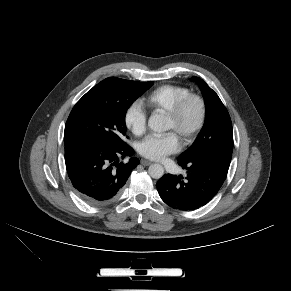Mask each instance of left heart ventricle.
I'll use <instances>...</instances> for the list:
<instances>
[{
    "label": "left heart ventricle",
    "mask_w": 291,
    "mask_h": 291,
    "mask_svg": "<svg viewBox=\"0 0 291 291\" xmlns=\"http://www.w3.org/2000/svg\"><path fill=\"white\" fill-rule=\"evenodd\" d=\"M198 106L196 103L189 104L180 118L173 121L166 117V130L174 131L179 137L191 131L198 119Z\"/></svg>",
    "instance_id": "1"
}]
</instances>
